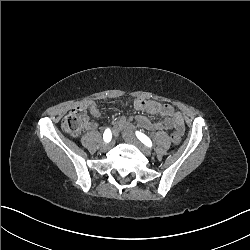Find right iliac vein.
<instances>
[{
	"label": "right iliac vein",
	"mask_w": 250,
	"mask_h": 250,
	"mask_svg": "<svg viewBox=\"0 0 250 250\" xmlns=\"http://www.w3.org/2000/svg\"><path fill=\"white\" fill-rule=\"evenodd\" d=\"M112 145H113V143L104 142V143H101L100 148H101V150H107Z\"/></svg>",
	"instance_id": "obj_1"
}]
</instances>
